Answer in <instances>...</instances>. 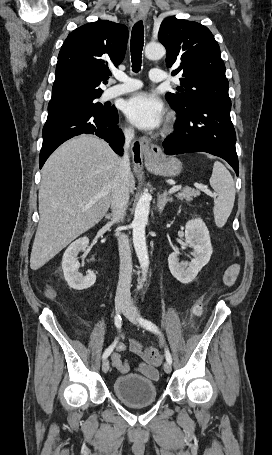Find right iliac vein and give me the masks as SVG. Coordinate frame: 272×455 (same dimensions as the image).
Returning a JSON list of instances; mask_svg holds the SVG:
<instances>
[{"mask_svg": "<svg viewBox=\"0 0 272 455\" xmlns=\"http://www.w3.org/2000/svg\"><path fill=\"white\" fill-rule=\"evenodd\" d=\"M125 305H126V301L124 299H122V298L117 299L115 301L116 313H121L123 311ZM109 367H110L109 360L107 358H105L102 363V371L104 373H107L109 370Z\"/></svg>", "mask_w": 272, "mask_h": 455, "instance_id": "63e3f726", "label": "right iliac vein"}]
</instances>
